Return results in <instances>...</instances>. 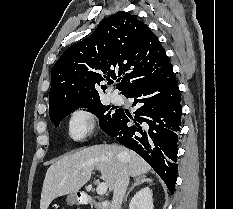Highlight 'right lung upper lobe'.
<instances>
[{"label": "right lung upper lobe", "mask_w": 233, "mask_h": 209, "mask_svg": "<svg viewBox=\"0 0 233 209\" xmlns=\"http://www.w3.org/2000/svg\"><path fill=\"white\" fill-rule=\"evenodd\" d=\"M170 65L149 27L137 16L120 11L104 18L89 37L70 46L54 64L49 113L100 99L97 86L117 76L121 94L127 95L157 79Z\"/></svg>", "instance_id": "cb5924a9"}]
</instances>
